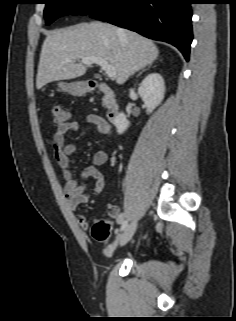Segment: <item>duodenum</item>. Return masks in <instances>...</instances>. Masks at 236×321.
Returning <instances> with one entry per match:
<instances>
[{
  "mask_svg": "<svg viewBox=\"0 0 236 321\" xmlns=\"http://www.w3.org/2000/svg\"><path fill=\"white\" fill-rule=\"evenodd\" d=\"M91 89L100 91L105 98L106 113L110 120H114L120 111L115 91L106 83L100 81H90Z\"/></svg>",
  "mask_w": 236,
  "mask_h": 321,
  "instance_id": "410a0bca",
  "label": "duodenum"
}]
</instances>
